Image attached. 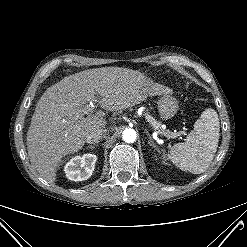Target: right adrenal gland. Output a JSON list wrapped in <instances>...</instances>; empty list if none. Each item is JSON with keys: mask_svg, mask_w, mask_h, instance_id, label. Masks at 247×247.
Returning <instances> with one entry per match:
<instances>
[{"mask_svg": "<svg viewBox=\"0 0 247 247\" xmlns=\"http://www.w3.org/2000/svg\"><path fill=\"white\" fill-rule=\"evenodd\" d=\"M95 147H97V146H88L87 148H90V149H94Z\"/></svg>", "mask_w": 247, "mask_h": 247, "instance_id": "1", "label": "right adrenal gland"}]
</instances>
